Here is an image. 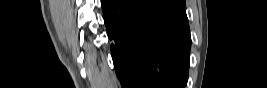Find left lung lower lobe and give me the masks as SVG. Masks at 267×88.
<instances>
[{"instance_id": "obj_1", "label": "left lung lower lobe", "mask_w": 267, "mask_h": 88, "mask_svg": "<svg viewBox=\"0 0 267 88\" xmlns=\"http://www.w3.org/2000/svg\"><path fill=\"white\" fill-rule=\"evenodd\" d=\"M122 88H184L190 31L185 0H102Z\"/></svg>"}]
</instances>
